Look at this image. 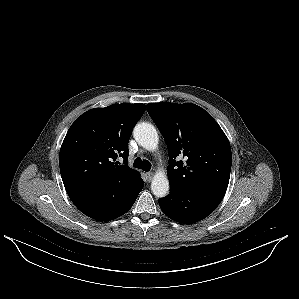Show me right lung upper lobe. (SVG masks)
Instances as JSON below:
<instances>
[{
    "mask_svg": "<svg viewBox=\"0 0 299 299\" xmlns=\"http://www.w3.org/2000/svg\"><path fill=\"white\" fill-rule=\"evenodd\" d=\"M145 109L144 104H113L91 109L71 125L59 155L67 191L117 181L132 192L143 182L139 172L127 166V159L133 127ZM118 156L124 165L114 163Z\"/></svg>",
    "mask_w": 299,
    "mask_h": 299,
    "instance_id": "right-lung-upper-lobe-1",
    "label": "right lung upper lobe"
}]
</instances>
